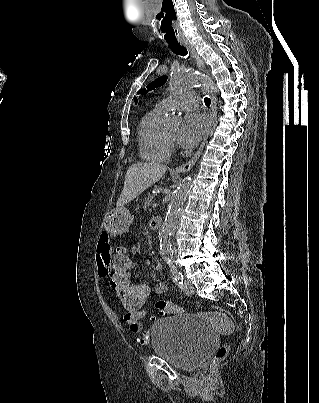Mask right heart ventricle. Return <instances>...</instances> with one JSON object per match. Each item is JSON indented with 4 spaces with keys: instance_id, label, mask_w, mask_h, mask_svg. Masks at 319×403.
Segmentation results:
<instances>
[{
    "instance_id": "e07e8e85",
    "label": "right heart ventricle",
    "mask_w": 319,
    "mask_h": 403,
    "mask_svg": "<svg viewBox=\"0 0 319 403\" xmlns=\"http://www.w3.org/2000/svg\"><path fill=\"white\" fill-rule=\"evenodd\" d=\"M164 110L156 105L152 110L145 113L139 122V153L142 159L149 162H164L170 155L165 131L160 124Z\"/></svg>"
}]
</instances>
